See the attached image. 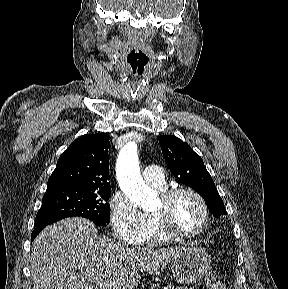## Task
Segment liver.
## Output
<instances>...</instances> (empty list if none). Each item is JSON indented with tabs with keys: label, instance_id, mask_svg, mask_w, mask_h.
Returning a JSON list of instances; mask_svg holds the SVG:
<instances>
[{
	"label": "liver",
	"instance_id": "obj_1",
	"mask_svg": "<svg viewBox=\"0 0 288 289\" xmlns=\"http://www.w3.org/2000/svg\"><path fill=\"white\" fill-rule=\"evenodd\" d=\"M96 233L95 225L80 217L46 227L30 256L34 289H135L138 270L156 272L183 249L127 247Z\"/></svg>",
	"mask_w": 288,
	"mask_h": 289
}]
</instances>
